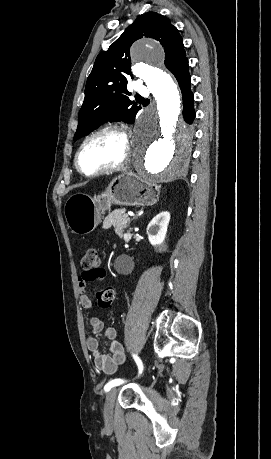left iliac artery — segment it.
Returning a JSON list of instances; mask_svg holds the SVG:
<instances>
[{"label": "left iliac artery", "instance_id": "obj_1", "mask_svg": "<svg viewBox=\"0 0 271 459\" xmlns=\"http://www.w3.org/2000/svg\"><path fill=\"white\" fill-rule=\"evenodd\" d=\"M133 358L135 359L136 363H137V368L142 370V362L141 360L139 359V357H137L136 355H133ZM140 372V371H139ZM142 372V371H141ZM142 375V374H141ZM138 376V375H137ZM136 381L137 382H140L141 381V378L140 377H137L136 378ZM123 383V380L121 379H114V380H111L110 382H108L105 387H104V390L105 391H109L112 387H115L117 385H120ZM123 385H126V384H123Z\"/></svg>", "mask_w": 271, "mask_h": 459}]
</instances>
